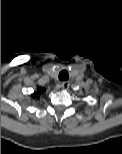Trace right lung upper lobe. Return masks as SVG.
<instances>
[{
	"mask_svg": "<svg viewBox=\"0 0 122 154\" xmlns=\"http://www.w3.org/2000/svg\"><path fill=\"white\" fill-rule=\"evenodd\" d=\"M44 92V88L39 87L35 93L32 94V97H38Z\"/></svg>",
	"mask_w": 122,
	"mask_h": 154,
	"instance_id": "1",
	"label": "right lung upper lobe"
}]
</instances>
